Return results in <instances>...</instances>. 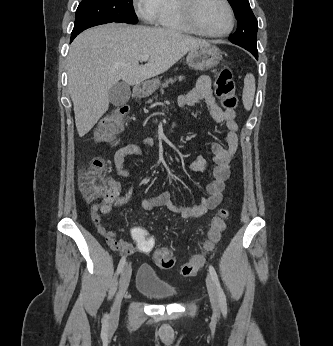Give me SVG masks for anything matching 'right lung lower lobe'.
<instances>
[{"label":"right lung lower lobe","instance_id":"right-lung-lower-lobe-1","mask_svg":"<svg viewBox=\"0 0 333 346\" xmlns=\"http://www.w3.org/2000/svg\"><path fill=\"white\" fill-rule=\"evenodd\" d=\"M76 36H71V41L75 38Z\"/></svg>","mask_w":333,"mask_h":346}]
</instances>
